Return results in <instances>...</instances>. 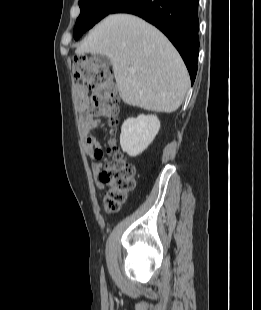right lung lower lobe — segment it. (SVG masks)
Here are the masks:
<instances>
[{"mask_svg":"<svg viewBox=\"0 0 261 310\" xmlns=\"http://www.w3.org/2000/svg\"><path fill=\"white\" fill-rule=\"evenodd\" d=\"M199 0H124L111 13L137 15L160 29L182 56L193 84L199 54Z\"/></svg>","mask_w":261,"mask_h":310,"instance_id":"98d812e1","label":"right lung lower lobe"}]
</instances>
